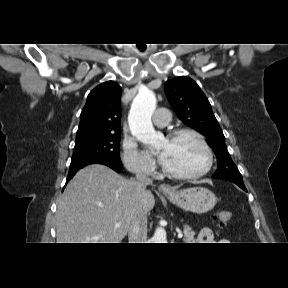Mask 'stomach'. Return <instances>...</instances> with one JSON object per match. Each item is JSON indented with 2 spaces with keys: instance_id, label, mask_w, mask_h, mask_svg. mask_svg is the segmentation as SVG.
I'll return each mask as SVG.
<instances>
[{
  "instance_id": "stomach-1",
  "label": "stomach",
  "mask_w": 288,
  "mask_h": 288,
  "mask_svg": "<svg viewBox=\"0 0 288 288\" xmlns=\"http://www.w3.org/2000/svg\"><path fill=\"white\" fill-rule=\"evenodd\" d=\"M165 196L178 207L199 214L210 211L217 202L215 194L201 186L182 189Z\"/></svg>"
}]
</instances>
